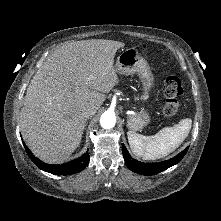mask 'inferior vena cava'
I'll list each match as a JSON object with an SVG mask.
<instances>
[{"label":"inferior vena cava","instance_id":"1","mask_svg":"<svg viewBox=\"0 0 221 221\" xmlns=\"http://www.w3.org/2000/svg\"><path fill=\"white\" fill-rule=\"evenodd\" d=\"M97 108L94 105H86L83 107L82 114L85 118L92 117L96 113Z\"/></svg>","mask_w":221,"mask_h":221}]
</instances>
